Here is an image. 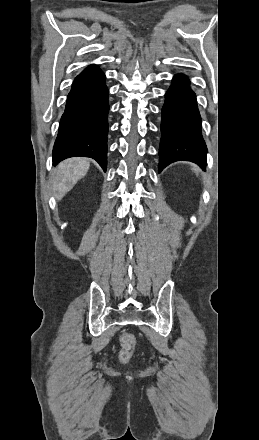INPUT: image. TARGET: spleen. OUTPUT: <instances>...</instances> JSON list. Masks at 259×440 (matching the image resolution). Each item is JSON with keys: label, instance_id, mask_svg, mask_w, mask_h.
<instances>
[{"label": "spleen", "instance_id": "obj_1", "mask_svg": "<svg viewBox=\"0 0 259 440\" xmlns=\"http://www.w3.org/2000/svg\"><path fill=\"white\" fill-rule=\"evenodd\" d=\"M194 171H195L196 173H198L197 169H195V168H194Z\"/></svg>", "mask_w": 259, "mask_h": 440}]
</instances>
